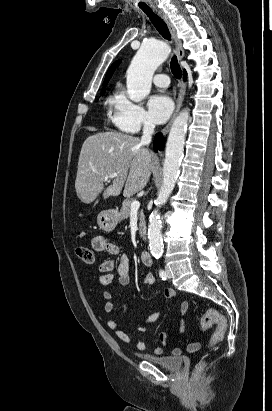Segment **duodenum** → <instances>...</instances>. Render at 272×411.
Returning <instances> with one entry per match:
<instances>
[{"instance_id": "1", "label": "duodenum", "mask_w": 272, "mask_h": 411, "mask_svg": "<svg viewBox=\"0 0 272 411\" xmlns=\"http://www.w3.org/2000/svg\"><path fill=\"white\" fill-rule=\"evenodd\" d=\"M141 259H142V262H143L145 265L150 266V265L153 264V257H152V255L150 254V252L147 251V250H144V251L141 252Z\"/></svg>"}]
</instances>
